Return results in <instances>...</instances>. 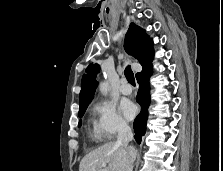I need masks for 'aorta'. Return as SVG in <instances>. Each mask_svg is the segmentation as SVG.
Returning a JSON list of instances; mask_svg holds the SVG:
<instances>
[{
    "label": "aorta",
    "instance_id": "1",
    "mask_svg": "<svg viewBox=\"0 0 223 171\" xmlns=\"http://www.w3.org/2000/svg\"><path fill=\"white\" fill-rule=\"evenodd\" d=\"M100 91L105 95L107 94V91H108L107 83L103 82L100 84Z\"/></svg>",
    "mask_w": 223,
    "mask_h": 171
}]
</instances>
